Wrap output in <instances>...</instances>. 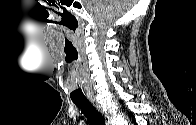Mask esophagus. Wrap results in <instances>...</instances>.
Masks as SVG:
<instances>
[{
    "instance_id": "1",
    "label": "esophagus",
    "mask_w": 196,
    "mask_h": 125,
    "mask_svg": "<svg viewBox=\"0 0 196 125\" xmlns=\"http://www.w3.org/2000/svg\"><path fill=\"white\" fill-rule=\"evenodd\" d=\"M90 102L93 104V106L96 108V110L102 115L105 125H109V119L107 117V115L104 113V111L102 110L101 105L93 98L90 99Z\"/></svg>"
}]
</instances>
